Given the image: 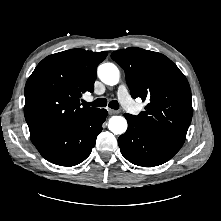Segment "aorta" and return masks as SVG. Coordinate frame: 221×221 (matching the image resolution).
I'll list each match as a JSON object with an SVG mask.
<instances>
[{"mask_svg": "<svg viewBox=\"0 0 221 221\" xmlns=\"http://www.w3.org/2000/svg\"><path fill=\"white\" fill-rule=\"evenodd\" d=\"M98 76L103 83L110 86L118 84L120 80V72L112 63L101 64L98 67ZM108 128L114 134H123L127 130V121L122 116H112Z\"/></svg>", "mask_w": 221, "mask_h": 221, "instance_id": "aorta-1", "label": "aorta"}]
</instances>
